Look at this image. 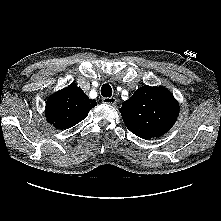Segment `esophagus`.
<instances>
[{"mask_svg":"<svg viewBox=\"0 0 221 221\" xmlns=\"http://www.w3.org/2000/svg\"><path fill=\"white\" fill-rule=\"evenodd\" d=\"M102 102L104 104L114 105L117 102V99L115 97H104L102 98Z\"/></svg>","mask_w":221,"mask_h":221,"instance_id":"esophagus-1","label":"esophagus"}]
</instances>
